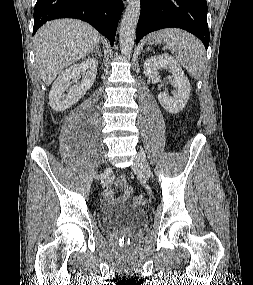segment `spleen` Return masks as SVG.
Returning <instances> with one entry per match:
<instances>
[{
    "mask_svg": "<svg viewBox=\"0 0 253 285\" xmlns=\"http://www.w3.org/2000/svg\"><path fill=\"white\" fill-rule=\"evenodd\" d=\"M157 36L164 40L178 62L195 78H200L205 66V49L195 36L180 29H163Z\"/></svg>",
    "mask_w": 253,
    "mask_h": 285,
    "instance_id": "3e777b00",
    "label": "spleen"
}]
</instances>
